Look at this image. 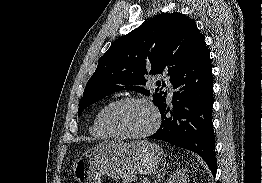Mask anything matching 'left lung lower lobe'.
<instances>
[{
    "instance_id": "left-lung-lower-lobe-1",
    "label": "left lung lower lobe",
    "mask_w": 262,
    "mask_h": 183,
    "mask_svg": "<svg viewBox=\"0 0 262 183\" xmlns=\"http://www.w3.org/2000/svg\"><path fill=\"white\" fill-rule=\"evenodd\" d=\"M172 107L159 108L161 127L148 138L169 142L200 155L216 174L212 124L213 78L209 50L205 47L173 79Z\"/></svg>"
}]
</instances>
